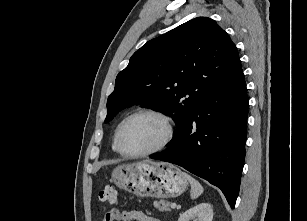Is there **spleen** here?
Here are the masks:
<instances>
[{
    "label": "spleen",
    "instance_id": "spleen-1",
    "mask_svg": "<svg viewBox=\"0 0 307 221\" xmlns=\"http://www.w3.org/2000/svg\"><path fill=\"white\" fill-rule=\"evenodd\" d=\"M184 175L191 185V191H190L191 199L198 198L203 193L202 185L196 179L191 177L190 175H188L186 173H184Z\"/></svg>",
    "mask_w": 307,
    "mask_h": 221
}]
</instances>
